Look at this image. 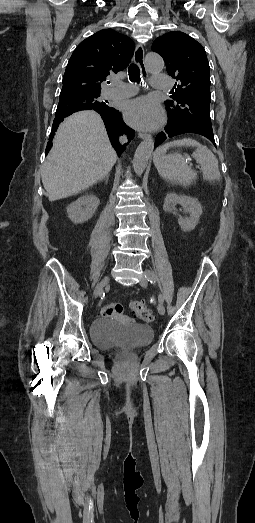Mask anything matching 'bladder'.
Instances as JSON below:
<instances>
[{"instance_id":"obj_1","label":"bladder","mask_w":255,"mask_h":523,"mask_svg":"<svg viewBox=\"0 0 255 523\" xmlns=\"http://www.w3.org/2000/svg\"><path fill=\"white\" fill-rule=\"evenodd\" d=\"M153 336V330L146 324H126L112 318L94 320L91 326V339L99 347H139L148 344Z\"/></svg>"}]
</instances>
